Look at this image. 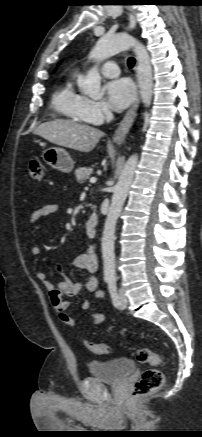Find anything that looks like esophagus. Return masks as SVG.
I'll use <instances>...</instances> for the list:
<instances>
[{"mask_svg":"<svg viewBox=\"0 0 202 437\" xmlns=\"http://www.w3.org/2000/svg\"><path fill=\"white\" fill-rule=\"evenodd\" d=\"M135 71H137V63L135 65ZM137 84V80H136ZM140 104V94L137 87V96L129 110L126 112L125 116L121 120L118 128L114 132L113 135V141L117 144H122L135 120V117L137 115V110Z\"/></svg>","mask_w":202,"mask_h":437,"instance_id":"obj_1","label":"esophagus"}]
</instances>
